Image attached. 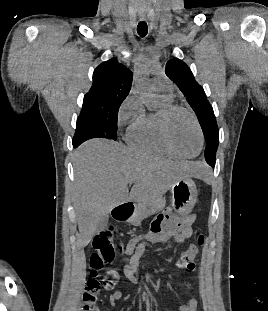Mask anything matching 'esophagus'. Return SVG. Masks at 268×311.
Segmentation results:
<instances>
[{
    "label": "esophagus",
    "instance_id": "1",
    "mask_svg": "<svg viewBox=\"0 0 268 311\" xmlns=\"http://www.w3.org/2000/svg\"><path fill=\"white\" fill-rule=\"evenodd\" d=\"M144 18H145L144 15H141V16H140V19H141V20H144Z\"/></svg>",
    "mask_w": 268,
    "mask_h": 311
}]
</instances>
